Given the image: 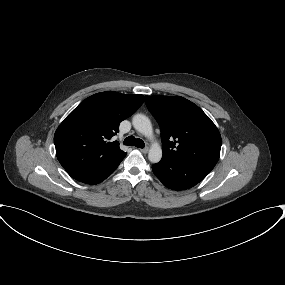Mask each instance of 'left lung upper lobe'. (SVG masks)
I'll return each mask as SVG.
<instances>
[{
  "mask_svg": "<svg viewBox=\"0 0 285 285\" xmlns=\"http://www.w3.org/2000/svg\"><path fill=\"white\" fill-rule=\"evenodd\" d=\"M161 129L163 159L211 171L219 160L221 135L211 119L180 96H145Z\"/></svg>",
  "mask_w": 285,
  "mask_h": 285,
  "instance_id": "obj_1",
  "label": "left lung upper lobe"
}]
</instances>
